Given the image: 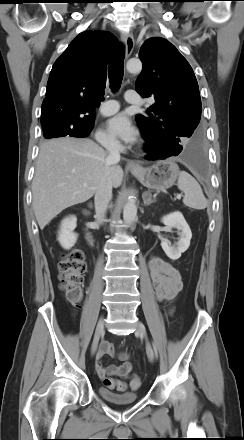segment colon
<instances>
[{"label": "colon", "instance_id": "obj_1", "mask_svg": "<svg viewBox=\"0 0 244 440\" xmlns=\"http://www.w3.org/2000/svg\"><path fill=\"white\" fill-rule=\"evenodd\" d=\"M58 270L60 288L63 291L65 299L72 306H78L82 297L81 285L86 272V263L82 251L72 249L63 254L58 263ZM103 385L108 389L118 391H124L127 388V384L124 381L109 376L103 379ZM140 385L141 381L139 377L134 376L130 381L131 388L136 390Z\"/></svg>", "mask_w": 244, "mask_h": 440}]
</instances>
